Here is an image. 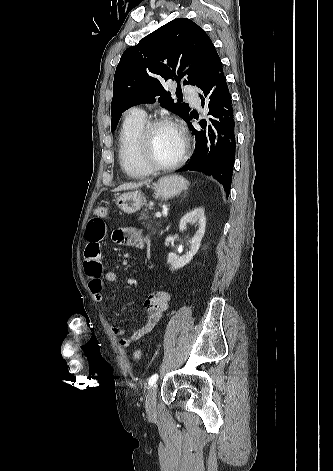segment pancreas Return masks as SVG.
Instances as JSON below:
<instances>
[{"label": "pancreas", "instance_id": "pancreas-1", "mask_svg": "<svg viewBox=\"0 0 333 471\" xmlns=\"http://www.w3.org/2000/svg\"><path fill=\"white\" fill-rule=\"evenodd\" d=\"M147 208L148 209H145L141 214H140V217L139 219L140 220H146L147 223L145 224V226L151 230L153 233H155L157 231L158 228H160V223L159 222H156L155 220H152L151 219V215H150V212H149V209L150 206L147 205Z\"/></svg>", "mask_w": 333, "mask_h": 471}]
</instances>
